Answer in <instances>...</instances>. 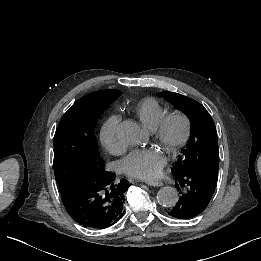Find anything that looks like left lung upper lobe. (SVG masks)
Returning a JSON list of instances; mask_svg holds the SVG:
<instances>
[{
  "mask_svg": "<svg viewBox=\"0 0 261 261\" xmlns=\"http://www.w3.org/2000/svg\"><path fill=\"white\" fill-rule=\"evenodd\" d=\"M161 96L186 113L191 123L189 143L171 172L181 174L194 169L218 176L217 131L210 114L200 103L181 94L161 92Z\"/></svg>",
  "mask_w": 261,
  "mask_h": 261,
  "instance_id": "left-lung-upper-lobe-1",
  "label": "left lung upper lobe"
}]
</instances>
